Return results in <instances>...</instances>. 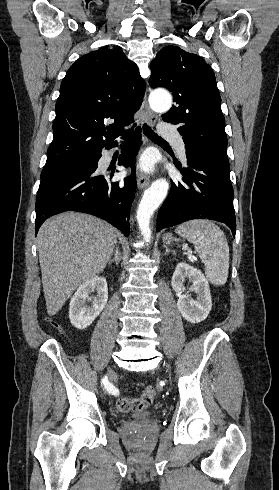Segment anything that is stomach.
Wrapping results in <instances>:
<instances>
[{
	"instance_id": "0dacf381",
	"label": "stomach",
	"mask_w": 279,
	"mask_h": 490,
	"mask_svg": "<svg viewBox=\"0 0 279 490\" xmlns=\"http://www.w3.org/2000/svg\"><path fill=\"white\" fill-rule=\"evenodd\" d=\"M176 238H173L172 234H164L163 242L164 244H171V242H175Z\"/></svg>"
}]
</instances>
